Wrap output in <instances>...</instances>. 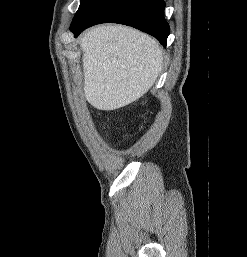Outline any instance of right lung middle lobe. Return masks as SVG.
<instances>
[{
	"label": "right lung middle lobe",
	"mask_w": 247,
	"mask_h": 257,
	"mask_svg": "<svg viewBox=\"0 0 247 257\" xmlns=\"http://www.w3.org/2000/svg\"><path fill=\"white\" fill-rule=\"evenodd\" d=\"M94 1L95 0H81L80 7L73 18L72 24L78 22L84 16Z\"/></svg>",
	"instance_id": "right-lung-middle-lobe-1"
}]
</instances>
